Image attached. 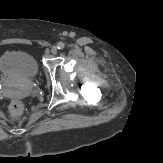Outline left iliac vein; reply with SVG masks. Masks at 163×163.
I'll use <instances>...</instances> for the list:
<instances>
[{"label": "left iliac vein", "instance_id": "left-iliac-vein-1", "mask_svg": "<svg viewBox=\"0 0 163 163\" xmlns=\"http://www.w3.org/2000/svg\"><path fill=\"white\" fill-rule=\"evenodd\" d=\"M57 51H58V49H57L56 46H53V47L51 48V53H52V54H56Z\"/></svg>", "mask_w": 163, "mask_h": 163}]
</instances>
